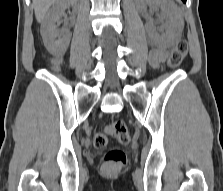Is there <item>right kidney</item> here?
Segmentation results:
<instances>
[{
  "mask_svg": "<svg viewBox=\"0 0 223 191\" xmlns=\"http://www.w3.org/2000/svg\"><path fill=\"white\" fill-rule=\"evenodd\" d=\"M77 5V0H58L56 1L41 26V35L47 50L53 55H62L66 52L71 33L68 30H59L60 18L64 11Z\"/></svg>",
  "mask_w": 223,
  "mask_h": 191,
  "instance_id": "ca27d5eb",
  "label": "right kidney"
}]
</instances>
